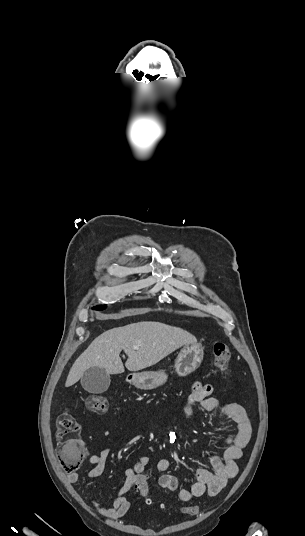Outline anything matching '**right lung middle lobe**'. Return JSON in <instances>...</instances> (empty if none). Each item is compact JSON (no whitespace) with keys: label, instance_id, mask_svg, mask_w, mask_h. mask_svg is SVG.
<instances>
[{"label":"right lung middle lobe","instance_id":"obj_1","mask_svg":"<svg viewBox=\"0 0 305 536\" xmlns=\"http://www.w3.org/2000/svg\"><path fill=\"white\" fill-rule=\"evenodd\" d=\"M105 308H106V305H98V306L93 307L92 309L93 310H104Z\"/></svg>","mask_w":305,"mask_h":536}]
</instances>
